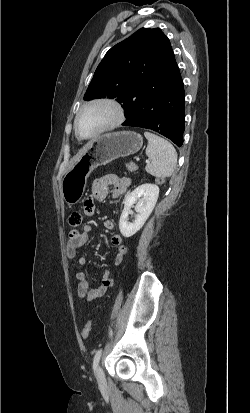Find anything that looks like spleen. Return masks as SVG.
<instances>
[{
  "instance_id": "1",
  "label": "spleen",
  "mask_w": 250,
  "mask_h": 413,
  "mask_svg": "<svg viewBox=\"0 0 250 413\" xmlns=\"http://www.w3.org/2000/svg\"><path fill=\"white\" fill-rule=\"evenodd\" d=\"M148 140L146 155L150 162L147 163L146 171L157 178H166L173 174L177 164V152L174 146L166 139L151 132H144Z\"/></svg>"
}]
</instances>
